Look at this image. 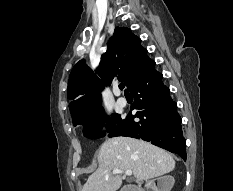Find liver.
Instances as JSON below:
<instances>
[{
	"instance_id": "6515ba94",
	"label": "liver",
	"mask_w": 233,
	"mask_h": 191,
	"mask_svg": "<svg viewBox=\"0 0 233 191\" xmlns=\"http://www.w3.org/2000/svg\"><path fill=\"white\" fill-rule=\"evenodd\" d=\"M98 169L89 176L82 191H117L122 176L112 170H132L138 180H148L175 168V160L165 150L149 142L129 137H115L105 141L98 152Z\"/></svg>"
}]
</instances>
